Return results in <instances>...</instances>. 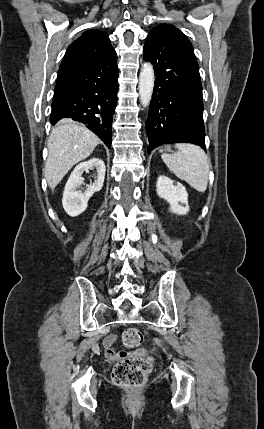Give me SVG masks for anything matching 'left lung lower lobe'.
Listing matches in <instances>:
<instances>
[{
  "instance_id": "left-lung-lower-lobe-1",
  "label": "left lung lower lobe",
  "mask_w": 264,
  "mask_h": 429,
  "mask_svg": "<svg viewBox=\"0 0 264 429\" xmlns=\"http://www.w3.org/2000/svg\"><path fill=\"white\" fill-rule=\"evenodd\" d=\"M144 60L156 76L146 122L148 153L167 143H193L205 148L202 85L192 46L171 30H152Z\"/></svg>"
}]
</instances>
